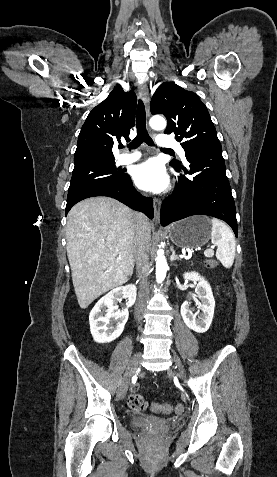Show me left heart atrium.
I'll list each match as a JSON object with an SVG mask.
<instances>
[{"label":"left heart atrium","instance_id":"39dd6f15","mask_svg":"<svg viewBox=\"0 0 277 477\" xmlns=\"http://www.w3.org/2000/svg\"><path fill=\"white\" fill-rule=\"evenodd\" d=\"M133 178L135 184L146 191L160 192L168 185L165 169L156 159L137 165L133 171Z\"/></svg>","mask_w":277,"mask_h":477}]
</instances>
